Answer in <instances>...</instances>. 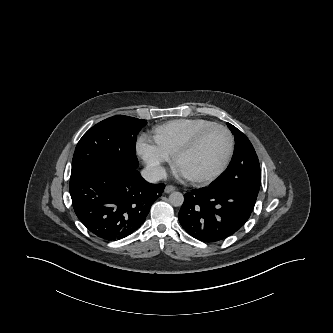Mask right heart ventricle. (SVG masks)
<instances>
[{"mask_svg":"<svg viewBox=\"0 0 333 333\" xmlns=\"http://www.w3.org/2000/svg\"><path fill=\"white\" fill-rule=\"evenodd\" d=\"M215 124L203 118L176 119L157 126L153 130L155 144L169 155L190 141L198 132Z\"/></svg>","mask_w":333,"mask_h":333,"instance_id":"e07e8e85","label":"right heart ventricle"}]
</instances>
